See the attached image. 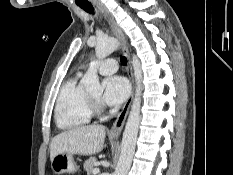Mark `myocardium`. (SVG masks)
<instances>
[{
	"instance_id": "f54148a6",
	"label": "myocardium",
	"mask_w": 233,
	"mask_h": 175,
	"mask_svg": "<svg viewBox=\"0 0 233 175\" xmlns=\"http://www.w3.org/2000/svg\"><path fill=\"white\" fill-rule=\"evenodd\" d=\"M88 104L92 114H99L101 113V104L100 101L97 99L88 96Z\"/></svg>"
}]
</instances>
